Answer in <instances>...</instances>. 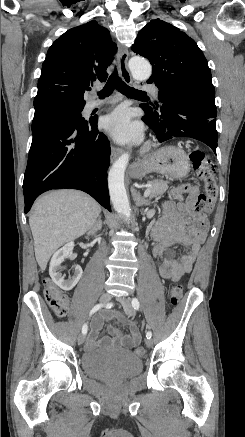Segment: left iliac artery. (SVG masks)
I'll list each match as a JSON object with an SVG mask.
<instances>
[{
    "instance_id": "1",
    "label": "left iliac artery",
    "mask_w": 245,
    "mask_h": 437,
    "mask_svg": "<svg viewBox=\"0 0 245 437\" xmlns=\"http://www.w3.org/2000/svg\"><path fill=\"white\" fill-rule=\"evenodd\" d=\"M132 306L134 307V309L138 310L140 308V303L138 301L137 298H133L132 299ZM152 333L150 331L146 332V337L147 338H151Z\"/></svg>"
}]
</instances>
